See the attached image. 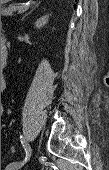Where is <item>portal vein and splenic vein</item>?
I'll list each match as a JSON object with an SVG mask.
<instances>
[{
	"instance_id": "1",
	"label": "portal vein and splenic vein",
	"mask_w": 109,
	"mask_h": 170,
	"mask_svg": "<svg viewBox=\"0 0 109 170\" xmlns=\"http://www.w3.org/2000/svg\"><path fill=\"white\" fill-rule=\"evenodd\" d=\"M27 7H22L20 6L19 10H18V13L21 14L23 13L25 10H26Z\"/></svg>"
}]
</instances>
